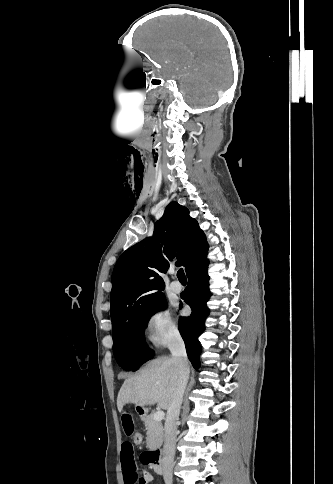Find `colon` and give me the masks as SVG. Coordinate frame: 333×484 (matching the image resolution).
I'll return each instance as SVG.
<instances>
[{"label":"colon","mask_w":333,"mask_h":484,"mask_svg":"<svg viewBox=\"0 0 333 484\" xmlns=\"http://www.w3.org/2000/svg\"><path fill=\"white\" fill-rule=\"evenodd\" d=\"M142 440H143V437H142V434L139 433V432H136L134 435H133V441L136 445H139L142 443Z\"/></svg>","instance_id":"obj_1"}]
</instances>
